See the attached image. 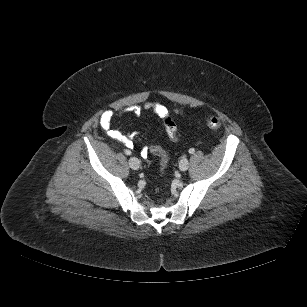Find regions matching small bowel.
Instances as JSON below:
<instances>
[{
    "instance_id": "1",
    "label": "small bowel",
    "mask_w": 307,
    "mask_h": 307,
    "mask_svg": "<svg viewBox=\"0 0 307 307\" xmlns=\"http://www.w3.org/2000/svg\"><path fill=\"white\" fill-rule=\"evenodd\" d=\"M147 111H153L155 112L160 118H164L166 115H168V111L166 107L160 105V104H147L144 107ZM132 112L135 115H139L141 112V109L137 106L132 108ZM177 113H180L178 110H176ZM114 119V113L111 110H106L102 113L100 116L99 124L101 128L106 132V134L113 138L122 141L128 148L132 147L133 143L129 136H125L121 133V131L118 128H115L112 125V121ZM148 151L146 148L141 150V156L147 157Z\"/></svg>"
}]
</instances>
